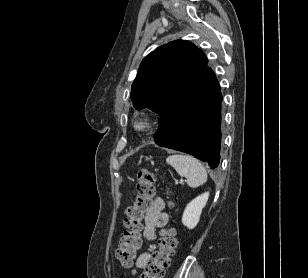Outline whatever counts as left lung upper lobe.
Masks as SVG:
<instances>
[{
	"label": "left lung upper lobe",
	"instance_id": "obj_1",
	"mask_svg": "<svg viewBox=\"0 0 308 278\" xmlns=\"http://www.w3.org/2000/svg\"><path fill=\"white\" fill-rule=\"evenodd\" d=\"M207 64L204 52L191 42L177 40L158 47L144 58L132 84L134 107L161 114Z\"/></svg>",
	"mask_w": 308,
	"mask_h": 278
}]
</instances>
